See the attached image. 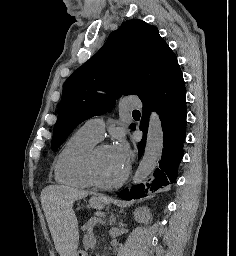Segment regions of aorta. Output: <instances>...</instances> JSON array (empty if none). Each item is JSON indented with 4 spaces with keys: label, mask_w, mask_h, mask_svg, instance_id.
Returning a JSON list of instances; mask_svg holds the SVG:
<instances>
[{
    "label": "aorta",
    "mask_w": 236,
    "mask_h": 256,
    "mask_svg": "<svg viewBox=\"0 0 236 256\" xmlns=\"http://www.w3.org/2000/svg\"><path fill=\"white\" fill-rule=\"evenodd\" d=\"M163 151V130L160 117L152 112L149 118L146 146L143 157L133 176L132 183L140 184L156 169Z\"/></svg>",
    "instance_id": "obj_1"
}]
</instances>
